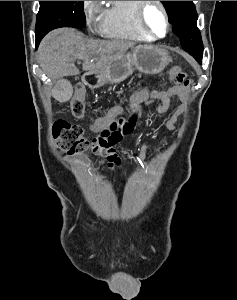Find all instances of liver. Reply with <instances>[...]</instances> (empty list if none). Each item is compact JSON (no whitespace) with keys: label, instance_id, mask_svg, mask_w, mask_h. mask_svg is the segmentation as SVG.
Here are the masks:
<instances>
[{"label":"liver","instance_id":"obj_1","mask_svg":"<svg viewBox=\"0 0 237 300\" xmlns=\"http://www.w3.org/2000/svg\"><path fill=\"white\" fill-rule=\"evenodd\" d=\"M133 45L131 41L85 39L75 29H56L41 41L39 61L50 77L60 79L68 75H79L74 59L83 61V71H97L113 63L119 53H125Z\"/></svg>","mask_w":237,"mask_h":300}]
</instances>
